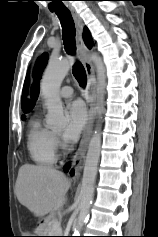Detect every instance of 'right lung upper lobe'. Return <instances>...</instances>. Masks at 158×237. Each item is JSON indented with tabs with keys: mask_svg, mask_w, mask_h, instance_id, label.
<instances>
[{
	"mask_svg": "<svg viewBox=\"0 0 158 237\" xmlns=\"http://www.w3.org/2000/svg\"><path fill=\"white\" fill-rule=\"evenodd\" d=\"M83 38L86 45L88 47H91L92 42H91V38L87 29H84ZM47 57H48L47 54H43L42 57H40L37 62L35 72H34L35 81L31 88V100H26L24 104L25 113L29 112L33 108L35 101L37 100V97L39 95L38 80L40 79L43 68L45 67L47 63Z\"/></svg>",
	"mask_w": 158,
	"mask_h": 237,
	"instance_id": "1",
	"label": "right lung upper lobe"
}]
</instances>
